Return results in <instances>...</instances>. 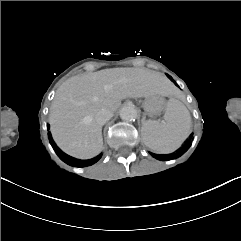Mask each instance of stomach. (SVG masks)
Segmentation results:
<instances>
[{
  "instance_id": "0dacf381",
  "label": "stomach",
  "mask_w": 241,
  "mask_h": 241,
  "mask_svg": "<svg viewBox=\"0 0 241 241\" xmlns=\"http://www.w3.org/2000/svg\"><path fill=\"white\" fill-rule=\"evenodd\" d=\"M165 101L159 95L148 96L143 101V108L150 117L160 115L165 108Z\"/></svg>"
}]
</instances>
